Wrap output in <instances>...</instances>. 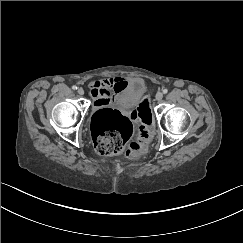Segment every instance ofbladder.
Masks as SVG:
<instances>
[{"instance_id": "obj_1", "label": "bladder", "mask_w": 243, "mask_h": 243, "mask_svg": "<svg viewBox=\"0 0 243 243\" xmlns=\"http://www.w3.org/2000/svg\"><path fill=\"white\" fill-rule=\"evenodd\" d=\"M146 92V83L141 77H131L127 80L122 92L116 96L115 104L121 108H132L137 105Z\"/></svg>"}]
</instances>
